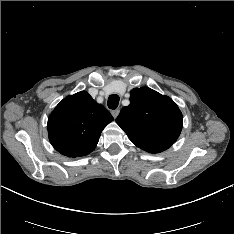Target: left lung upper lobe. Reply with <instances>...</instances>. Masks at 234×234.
<instances>
[{"label":"left lung upper lobe","instance_id":"left-lung-upper-lobe-1","mask_svg":"<svg viewBox=\"0 0 234 234\" xmlns=\"http://www.w3.org/2000/svg\"><path fill=\"white\" fill-rule=\"evenodd\" d=\"M130 105L124 107L117 124L139 148L159 153L168 149L182 129V113L168 96L148 88L131 90Z\"/></svg>","mask_w":234,"mask_h":234}]
</instances>
